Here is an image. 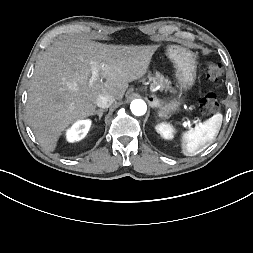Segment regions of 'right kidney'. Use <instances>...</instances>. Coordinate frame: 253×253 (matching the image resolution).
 Returning <instances> with one entry per match:
<instances>
[{
  "label": "right kidney",
  "instance_id": "ca27d5eb",
  "mask_svg": "<svg viewBox=\"0 0 253 253\" xmlns=\"http://www.w3.org/2000/svg\"><path fill=\"white\" fill-rule=\"evenodd\" d=\"M90 126L91 121L89 120L78 121L67 131V140L74 142L83 139L88 133Z\"/></svg>",
  "mask_w": 253,
  "mask_h": 253
}]
</instances>
